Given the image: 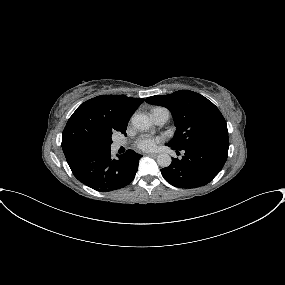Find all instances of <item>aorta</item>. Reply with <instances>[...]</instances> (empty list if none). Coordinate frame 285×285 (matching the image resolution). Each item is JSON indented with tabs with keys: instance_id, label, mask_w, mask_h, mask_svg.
Masks as SVG:
<instances>
[{
	"instance_id": "1",
	"label": "aorta",
	"mask_w": 285,
	"mask_h": 285,
	"mask_svg": "<svg viewBox=\"0 0 285 285\" xmlns=\"http://www.w3.org/2000/svg\"><path fill=\"white\" fill-rule=\"evenodd\" d=\"M131 122L135 129L141 131H146L152 126L149 117L142 113H135L131 118ZM171 162V156L167 153H162L157 156V163L163 168L168 167Z\"/></svg>"
}]
</instances>
